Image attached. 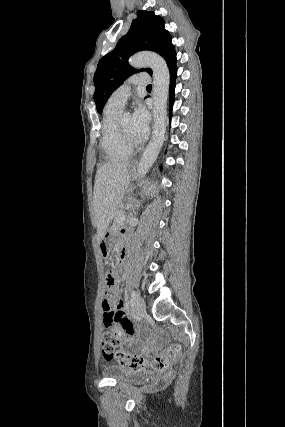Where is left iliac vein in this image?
I'll use <instances>...</instances> for the list:
<instances>
[{
  "mask_svg": "<svg viewBox=\"0 0 285 427\" xmlns=\"http://www.w3.org/2000/svg\"><path fill=\"white\" fill-rule=\"evenodd\" d=\"M146 305L145 301L142 297L138 296L135 301V313L138 316H141L145 313Z\"/></svg>",
  "mask_w": 285,
  "mask_h": 427,
  "instance_id": "left-iliac-vein-1",
  "label": "left iliac vein"
}]
</instances>
